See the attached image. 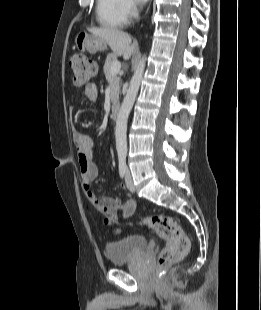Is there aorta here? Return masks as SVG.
Masks as SVG:
<instances>
[{
  "label": "aorta",
  "instance_id": "aorta-1",
  "mask_svg": "<svg viewBox=\"0 0 261 310\" xmlns=\"http://www.w3.org/2000/svg\"><path fill=\"white\" fill-rule=\"evenodd\" d=\"M146 57L143 56L131 78L129 89L122 102L115 128L116 149L119 156L127 154V121L135 102L145 70Z\"/></svg>",
  "mask_w": 261,
  "mask_h": 310
}]
</instances>
